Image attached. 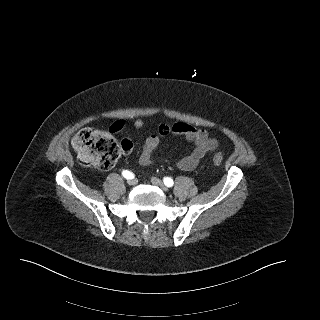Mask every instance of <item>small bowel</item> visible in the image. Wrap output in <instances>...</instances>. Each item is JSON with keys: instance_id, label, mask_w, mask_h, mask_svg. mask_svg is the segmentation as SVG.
Instances as JSON below:
<instances>
[{"instance_id": "small-bowel-1", "label": "small bowel", "mask_w": 320, "mask_h": 320, "mask_svg": "<svg viewBox=\"0 0 320 320\" xmlns=\"http://www.w3.org/2000/svg\"><path fill=\"white\" fill-rule=\"evenodd\" d=\"M121 129L122 124L120 122L115 123ZM144 127V122L138 119L134 122V128L141 130ZM159 136L165 137L170 134L181 135L188 141L193 143V149L191 152L179 159L176 163L177 168L182 171H191L195 169L200 160L208 153L215 150L218 146V140L211 135L207 130L193 127L186 123H173V124H161L158 127ZM156 134H152L146 137L143 145L142 153L139 157V163L142 166H149L154 160V152L159 146L160 137Z\"/></svg>"}]
</instances>
